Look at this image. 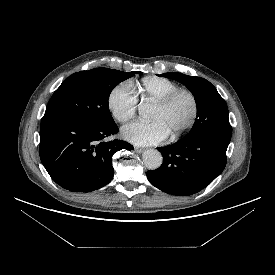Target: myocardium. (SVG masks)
Returning a JSON list of instances; mask_svg holds the SVG:
<instances>
[{
	"label": "myocardium",
	"mask_w": 275,
	"mask_h": 275,
	"mask_svg": "<svg viewBox=\"0 0 275 275\" xmlns=\"http://www.w3.org/2000/svg\"><path fill=\"white\" fill-rule=\"evenodd\" d=\"M182 94H185L189 97L192 104V112H191L190 118L185 123V125L182 126L179 130L171 134L172 139L179 138L180 136H182L184 133H186L188 130L192 128L198 116V111H199L198 100L195 94L190 89L178 88L172 91L171 93H169L168 95H166L164 98H162L158 102H156L157 107L161 109H166Z\"/></svg>",
	"instance_id": "1"
}]
</instances>
